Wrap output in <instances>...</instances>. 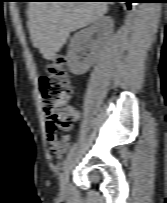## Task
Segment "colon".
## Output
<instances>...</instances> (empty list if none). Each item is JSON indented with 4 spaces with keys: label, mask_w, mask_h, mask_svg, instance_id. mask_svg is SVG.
Masks as SVG:
<instances>
[{
    "label": "colon",
    "mask_w": 167,
    "mask_h": 203,
    "mask_svg": "<svg viewBox=\"0 0 167 203\" xmlns=\"http://www.w3.org/2000/svg\"><path fill=\"white\" fill-rule=\"evenodd\" d=\"M65 63V56L59 54L47 65V75L38 80L48 124L49 142L52 145L57 140L58 131H69L76 119L75 111L66 107L72 94V86L64 68Z\"/></svg>",
    "instance_id": "5ec220e1"
}]
</instances>
